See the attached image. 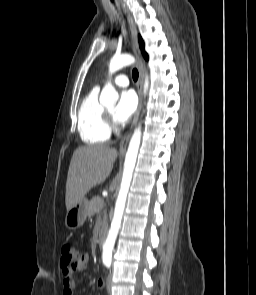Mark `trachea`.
Returning <instances> with one entry per match:
<instances>
[{
  "label": "trachea",
  "mask_w": 256,
  "mask_h": 295,
  "mask_svg": "<svg viewBox=\"0 0 256 295\" xmlns=\"http://www.w3.org/2000/svg\"><path fill=\"white\" fill-rule=\"evenodd\" d=\"M132 77H133L134 81H137V79H138V71H137V69H133Z\"/></svg>",
  "instance_id": "3493384b"
}]
</instances>
